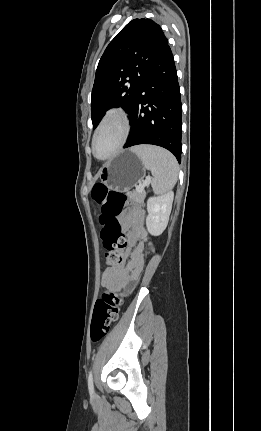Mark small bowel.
<instances>
[{
  "label": "small bowel",
  "mask_w": 261,
  "mask_h": 431,
  "mask_svg": "<svg viewBox=\"0 0 261 431\" xmlns=\"http://www.w3.org/2000/svg\"><path fill=\"white\" fill-rule=\"evenodd\" d=\"M120 224L127 231L126 255L130 259L127 263L108 266L102 272L101 285L112 291L130 290L135 286L144 268V249L149 244L144 228V211L139 206L126 209L120 216Z\"/></svg>",
  "instance_id": "small-bowel-1"
}]
</instances>
